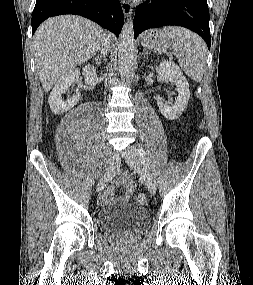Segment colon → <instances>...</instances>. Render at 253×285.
<instances>
[{
    "label": "colon",
    "mask_w": 253,
    "mask_h": 285,
    "mask_svg": "<svg viewBox=\"0 0 253 285\" xmlns=\"http://www.w3.org/2000/svg\"><path fill=\"white\" fill-rule=\"evenodd\" d=\"M135 200L138 204L145 205L148 201V198L144 193H140L136 196Z\"/></svg>",
    "instance_id": "5ec220e1"
}]
</instances>
